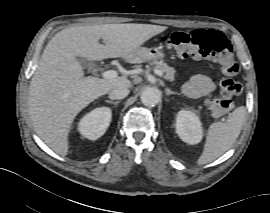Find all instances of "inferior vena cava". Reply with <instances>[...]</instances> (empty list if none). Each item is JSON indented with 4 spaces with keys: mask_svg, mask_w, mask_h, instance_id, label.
Returning <instances> with one entry per match:
<instances>
[{
    "mask_svg": "<svg viewBox=\"0 0 270 213\" xmlns=\"http://www.w3.org/2000/svg\"><path fill=\"white\" fill-rule=\"evenodd\" d=\"M129 94V90L125 87H118L115 89H112L109 92V97L111 99H123Z\"/></svg>",
    "mask_w": 270,
    "mask_h": 213,
    "instance_id": "inferior-vena-cava-1",
    "label": "inferior vena cava"
}]
</instances>
